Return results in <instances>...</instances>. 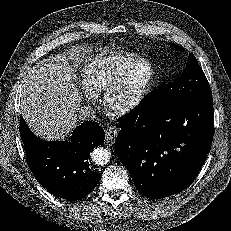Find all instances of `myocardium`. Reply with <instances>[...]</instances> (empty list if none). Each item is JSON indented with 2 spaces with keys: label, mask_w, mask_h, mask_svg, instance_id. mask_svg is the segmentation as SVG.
I'll list each match as a JSON object with an SVG mask.
<instances>
[{
  "label": "myocardium",
  "mask_w": 231,
  "mask_h": 231,
  "mask_svg": "<svg viewBox=\"0 0 231 231\" xmlns=\"http://www.w3.org/2000/svg\"><path fill=\"white\" fill-rule=\"evenodd\" d=\"M146 66L149 69L147 82L133 95L126 96V88L133 74L140 68ZM156 82V71L149 60L141 59L131 66L104 92L103 103L106 110L115 116L128 114L136 109L148 96Z\"/></svg>",
  "instance_id": "f54148a6"
}]
</instances>
